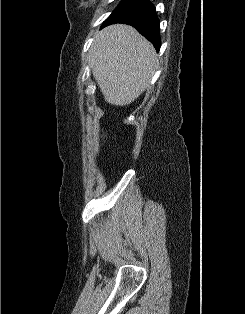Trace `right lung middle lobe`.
<instances>
[{
    "instance_id": "1",
    "label": "right lung middle lobe",
    "mask_w": 245,
    "mask_h": 314,
    "mask_svg": "<svg viewBox=\"0 0 245 314\" xmlns=\"http://www.w3.org/2000/svg\"><path fill=\"white\" fill-rule=\"evenodd\" d=\"M129 0H122V2L118 5V7L116 9H118L119 7L123 6L125 3H127ZM115 9V10H116Z\"/></svg>"
}]
</instances>
